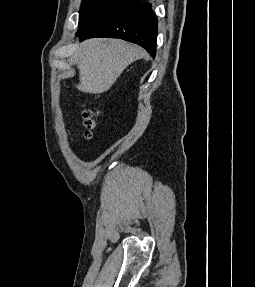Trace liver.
Segmentation results:
<instances>
[{
  "instance_id": "liver-1",
  "label": "liver",
  "mask_w": 255,
  "mask_h": 287,
  "mask_svg": "<svg viewBox=\"0 0 255 287\" xmlns=\"http://www.w3.org/2000/svg\"><path fill=\"white\" fill-rule=\"evenodd\" d=\"M146 52L123 40H85L75 44L70 56L79 72L78 90L86 94H103L112 88L125 68L140 60Z\"/></svg>"
}]
</instances>
